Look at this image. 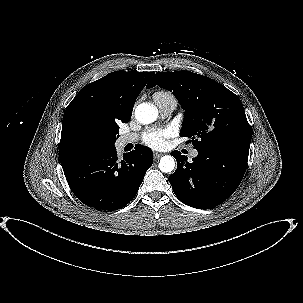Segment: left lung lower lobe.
<instances>
[{
    "label": "left lung lower lobe",
    "mask_w": 303,
    "mask_h": 303,
    "mask_svg": "<svg viewBox=\"0 0 303 303\" xmlns=\"http://www.w3.org/2000/svg\"><path fill=\"white\" fill-rule=\"evenodd\" d=\"M192 162L178 151L177 169L169 182L178 199L184 204L211 209L224 202L240 184L247 168L248 147L203 146Z\"/></svg>",
    "instance_id": "0a47b994"
}]
</instances>
